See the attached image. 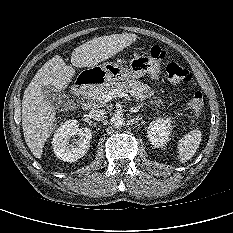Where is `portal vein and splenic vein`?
Returning a JSON list of instances; mask_svg holds the SVG:
<instances>
[{
    "label": "portal vein and splenic vein",
    "instance_id": "portal-vein-and-splenic-vein-1",
    "mask_svg": "<svg viewBox=\"0 0 233 233\" xmlns=\"http://www.w3.org/2000/svg\"><path fill=\"white\" fill-rule=\"evenodd\" d=\"M115 97H123L125 98L126 100L128 101H131V97L124 93L123 91L121 90H118V89H112L108 92H105L101 97H100V100L103 102V103H106V102H109L110 100H112L113 98Z\"/></svg>",
    "mask_w": 233,
    "mask_h": 233
}]
</instances>
